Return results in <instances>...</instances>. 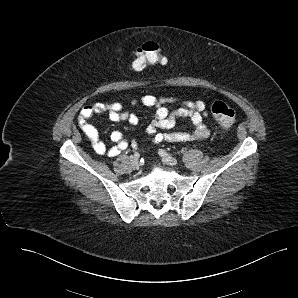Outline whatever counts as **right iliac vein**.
Wrapping results in <instances>:
<instances>
[{"instance_id": "obj_1", "label": "right iliac vein", "mask_w": 298, "mask_h": 298, "mask_svg": "<svg viewBox=\"0 0 298 298\" xmlns=\"http://www.w3.org/2000/svg\"><path fill=\"white\" fill-rule=\"evenodd\" d=\"M138 161H139L138 157H136V156H131L130 157V162H131L132 165H137Z\"/></svg>"}]
</instances>
